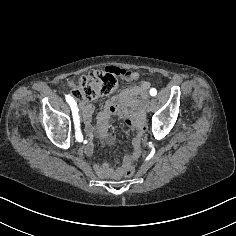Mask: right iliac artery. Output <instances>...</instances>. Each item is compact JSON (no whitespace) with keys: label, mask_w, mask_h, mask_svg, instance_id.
Wrapping results in <instances>:
<instances>
[{"label":"right iliac artery","mask_w":236,"mask_h":236,"mask_svg":"<svg viewBox=\"0 0 236 236\" xmlns=\"http://www.w3.org/2000/svg\"><path fill=\"white\" fill-rule=\"evenodd\" d=\"M66 101L69 103L72 110V115H73L75 129H76V133H75L76 140L78 142H81L83 140V135L81 134V131H80V120H79L80 117L78 115L77 103L70 95H66Z\"/></svg>","instance_id":"obj_1"}]
</instances>
